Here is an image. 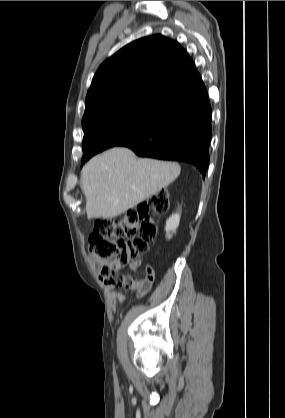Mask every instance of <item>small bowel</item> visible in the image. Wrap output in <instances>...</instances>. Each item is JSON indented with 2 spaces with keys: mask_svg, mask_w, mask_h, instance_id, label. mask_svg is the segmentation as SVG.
<instances>
[{
  "mask_svg": "<svg viewBox=\"0 0 285 418\" xmlns=\"http://www.w3.org/2000/svg\"><path fill=\"white\" fill-rule=\"evenodd\" d=\"M92 267L96 270V271H100V262L98 259H96L95 257L91 256L89 259ZM144 266V276L142 279H140L138 281L139 285L143 286L145 288V292H147L149 290V288L151 287L154 279H155V272L154 269L152 267V265L150 264H145L143 262V259L139 258L137 261L134 262L133 267H141ZM122 281L124 283V285L128 288H134L136 286V282L133 279H131L130 277H123ZM113 300L118 304H122L123 302V296L118 293V292H113Z\"/></svg>",
  "mask_w": 285,
  "mask_h": 418,
  "instance_id": "c3829d8e",
  "label": "small bowel"
}]
</instances>
